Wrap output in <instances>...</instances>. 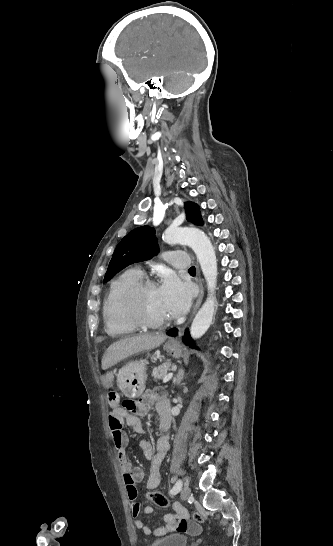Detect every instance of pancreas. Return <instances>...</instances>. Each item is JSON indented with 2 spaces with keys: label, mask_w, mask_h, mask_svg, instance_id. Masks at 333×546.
Instances as JSON below:
<instances>
[{
  "label": "pancreas",
  "mask_w": 333,
  "mask_h": 546,
  "mask_svg": "<svg viewBox=\"0 0 333 546\" xmlns=\"http://www.w3.org/2000/svg\"><path fill=\"white\" fill-rule=\"evenodd\" d=\"M172 367L173 365L171 364V362L167 361L161 366L154 368L152 371V376L154 377V380L157 381L164 378Z\"/></svg>",
  "instance_id": "obj_1"
}]
</instances>
